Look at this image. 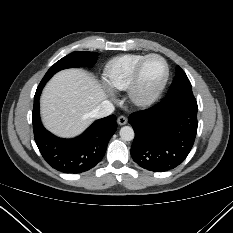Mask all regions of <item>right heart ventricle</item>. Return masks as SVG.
Here are the masks:
<instances>
[{"label":"right heart ventricle","instance_id":"1","mask_svg":"<svg viewBox=\"0 0 233 233\" xmlns=\"http://www.w3.org/2000/svg\"><path fill=\"white\" fill-rule=\"evenodd\" d=\"M145 56L126 54L109 61L103 73L105 85L111 90L128 89L136 67Z\"/></svg>","mask_w":233,"mask_h":233}]
</instances>
